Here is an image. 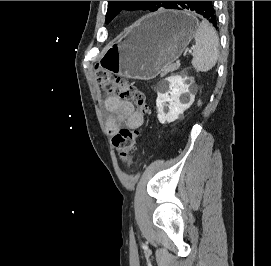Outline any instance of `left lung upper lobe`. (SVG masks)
I'll list each match as a JSON object with an SVG mask.
<instances>
[{
	"mask_svg": "<svg viewBox=\"0 0 271 266\" xmlns=\"http://www.w3.org/2000/svg\"><path fill=\"white\" fill-rule=\"evenodd\" d=\"M172 1H108L105 23H109L121 10H150L167 8Z\"/></svg>",
	"mask_w": 271,
	"mask_h": 266,
	"instance_id": "obj_1",
	"label": "left lung upper lobe"
}]
</instances>
